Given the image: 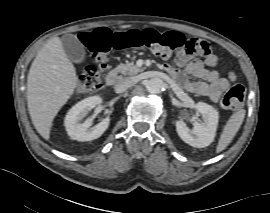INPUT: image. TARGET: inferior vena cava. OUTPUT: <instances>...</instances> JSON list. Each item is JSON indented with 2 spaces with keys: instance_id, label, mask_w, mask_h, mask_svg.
I'll return each mask as SVG.
<instances>
[{
  "instance_id": "inferior-vena-cava-1",
  "label": "inferior vena cava",
  "mask_w": 270,
  "mask_h": 213,
  "mask_svg": "<svg viewBox=\"0 0 270 213\" xmlns=\"http://www.w3.org/2000/svg\"><path fill=\"white\" fill-rule=\"evenodd\" d=\"M134 85V81L131 78H122L115 85V91L117 93L124 92L128 88Z\"/></svg>"
}]
</instances>
